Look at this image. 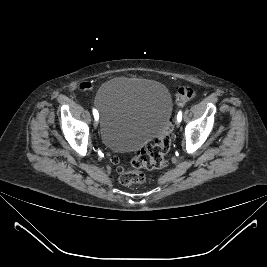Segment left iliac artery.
<instances>
[{
    "instance_id": "left-iliac-artery-1",
    "label": "left iliac artery",
    "mask_w": 267,
    "mask_h": 267,
    "mask_svg": "<svg viewBox=\"0 0 267 267\" xmlns=\"http://www.w3.org/2000/svg\"><path fill=\"white\" fill-rule=\"evenodd\" d=\"M181 119H182V112L179 111V112H178V115H177V120L180 122Z\"/></svg>"
}]
</instances>
